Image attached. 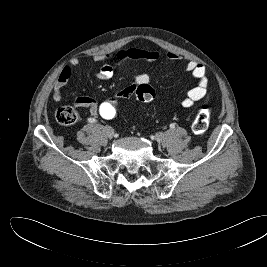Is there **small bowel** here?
<instances>
[{"label": "small bowel", "instance_id": "obj_1", "mask_svg": "<svg viewBox=\"0 0 267 267\" xmlns=\"http://www.w3.org/2000/svg\"><path fill=\"white\" fill-rule=\"evenodd\" d=\"M160 57L158 51L139 49V48H120L106 56H97L96 61L101 62L103 60L109 59L110 62H104L99 70L95 73V77L100 80H108L112 78L114 74V67L116 64L121 63L128 59L133 60H148L152 61ZM165 58L169 61L178 60L180 57L174 53H166ZM78 65V60H72L68 65H66L60 72L54 87H53V99L56 102L62 100V90L69 81L74 69ZM186 71L189 72L193 78L197 80L195 87L190 89L186 96L182 100L183 107H192L197 101L207 98L208 95V79L206 76L205 67L197 62L189 61L185 67ZM150 81V76L146 72H141L134 77V84L123 88L116 94L122 100L130 98L135 93V88L140 84H147ZM98 102L89 96L78 97L74 105L76 107H86L89 108L91 114H97Z\"/></svg>", "mask_w": 267, "mask_h": 267}]
</instances>
